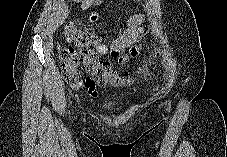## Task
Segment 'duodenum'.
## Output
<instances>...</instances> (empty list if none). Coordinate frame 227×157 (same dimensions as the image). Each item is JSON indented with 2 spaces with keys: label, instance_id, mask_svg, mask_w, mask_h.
Returning a JSON list of instances; mask_svg holds the SVG:
<instances>
[{
  "label": "duodenum",
  "instance_id": "1",
  "mask_svg": "<svg viewBox=\"0 0 227 157\" xmlns=\"http://www.w3.org/2000/svg\"><path fill=\"white\" fill-rule=\"evenodd\" d=\"M95 20H96V21H99V20H100V17H99V16H96V17H95Z\"/></svg>",
  "mask_w": 227,
  "mask_h": 157
}]
</instances>
